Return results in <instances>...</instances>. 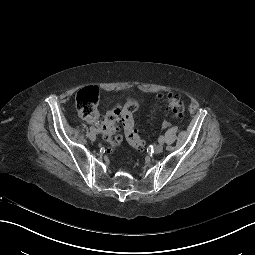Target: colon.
Instances as JSON below:
<instances>
[{"mask_svg": "<svg viewBox=\"0 0 255 255\" xmlns=\"http://www.w3.org/2000/svg\"><path fill=\"white\" fill-rule=\"evenodd\" d=\"M168 112L175 118H181L184 113V103L180 96L169 94L160 97ZM139 107V102L129 99L120 108L113 106L101 121V132L103 139L111 147L121 144V137L117 134L120 124L129 144L138 151H143L145 144L135 128L134 114ZM76 108L80 116L89 121H95L98 117V90L95 87H87L78 91L76 95Z\"/></svg>", "mask_w": 255, "mask_h": 255, "instance_id": "1", "label": "colon"}]
</instances>
